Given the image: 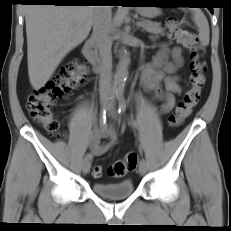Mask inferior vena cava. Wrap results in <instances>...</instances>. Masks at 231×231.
Returning a JSON list of instances; mask_svg holds the SVG:
<instances>
[{
	"label": "inferior vena cava",
	"mask_w": 231,
	"mask_h": 231,
	"mask_svg": "<svg viewBox=\"0 0 231 231\" xmlns=\"http://www.w3.org/2000/svg\"><path fill=\"white\" fill-rule=\"evenodd\" d=\"M112 12L110 6H95L93 13V38L100 53V93L112 91Z\"/></svg>",
	"instance_id": "obj_1"
}]
</instances>
